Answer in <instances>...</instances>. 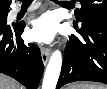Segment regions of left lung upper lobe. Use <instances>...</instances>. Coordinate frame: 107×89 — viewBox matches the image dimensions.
<instances>
[{
  "instance_id": "5c2ea615",
  "label": "left lung upper lobe",
  "mask_w": 107,
  "mask_h": 89,
  "mask_svg": "<svg viewBox=\"0 0 107 89\" xmlns=\"http://www.w3.org/2000/svg\"><path fill=\"white\" fill-rule=\"evenodd\" d=\"M78 1L82 6L76 13L78 21H83L87 18H107V0Z\"/></svg>"
}]
</instances>
